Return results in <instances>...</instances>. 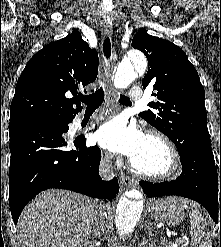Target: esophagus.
<instances>
[{
    "label": "esophagus",
    "instance_id": "esophagus-1",
    "mask_svg": "<svg viewBox=\"0 0 221 247\" xmlns=\"http://www.w3.org/2000/svg\"><path fill=\"white\" fill-rule=\"evenodd\" d=\"M101 31H102V34L105 38L110 37V39H112V24H111V22L103 21L101 23ZM115 58H116V51L113 48V53H112L111 59L114 60ZM104 70H105V64H104V61H102L101 65H100V75H99L100 79H102L104 76ZM105 108H106V106L104 105V109ZM121 184H122V186H126V187H136L137 181L133 178L126 176V177H122Z\"/></svg>",
    "mask_w": 221,
    "mask_h": 247
}]
</instances>
